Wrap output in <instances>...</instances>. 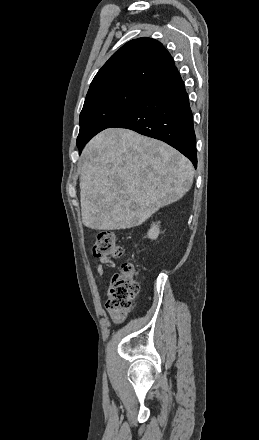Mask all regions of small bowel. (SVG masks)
<instances>
[{
	"mask_svg": "<svg viewBox=\"0 0 259 440\" xmlns=\"http://www.w3.org/2000/svg\"><path fill=\"white\" fill-rule=\"evenodd\" d=\"M114 266V262L110 258L103 257L96 265V271L98 274L104 275L107 269L113 268Z\"/></svg>",
	"mask_w": 259,
	"mask_h": 440,
	"instance_id": "1",
	"label": "small bowel"
}]
</instances>
